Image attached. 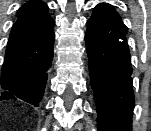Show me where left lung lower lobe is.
Segmentation results:
<instances>
[{"instance_id":"1","label":"left lung lower lobe","mask_w":151,"mask_h":131,"mask_svg":"<svg viewBox=\"0 0 151 131\" xmlns=\"http://www.w3.org/2000/svg\"><path fill=\"white\" fill-rule=\"evenodd\" d=\"M128 28L109 4H99L85 36L98 131H131L134 108Z\"/></svg>"}]
</instances>
